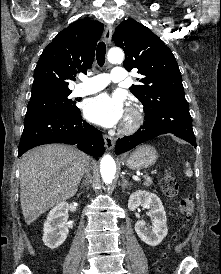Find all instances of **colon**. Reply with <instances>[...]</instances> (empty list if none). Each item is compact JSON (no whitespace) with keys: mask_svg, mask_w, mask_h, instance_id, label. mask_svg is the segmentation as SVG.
<instances>
[{"mask_svg":"<svg viewBox=\"0 0 221 274\" xmlns=\"http://www.w3.org/2000/svg\"><path fill=\"white\" fill-rule=\"evenodd\" d=\"M160 187L167 197H175L178 193V182L176 178L167 172L161 180ZM194 204L190 198H184L180 202V213L185 220H189L193 214Z\"/></svg>","mask_w":221,"mask_h":274,"instance_id":"1","label":"colon"}]
</instances>
